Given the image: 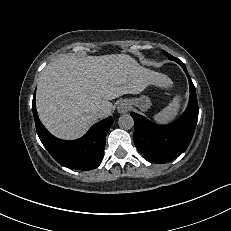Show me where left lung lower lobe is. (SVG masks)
Returning a JSON list of instances; mask_svg holds the SVG:
<instances>
[{
    "instance_id": "0a47b994",
    "label": "left lung lower lobe",
    "mask_w": 231,
    "mask_h": 231,
    "mask_svg": "<svg viewBox=\"0 0 231 231\" xmlns=\"http://www.w3.org/2000/svg\"><path fill=\"white\" fill-rule=\"evenodd\" d=\"M185 71L190 86V99L183 115L168 125H157L145 117L131 113L135 122L134 143L142 156L154 163L169 162L183 153L195 131L198 120V103L195 87L183 62L171 57Z\"/></svg>"
}]
</instances>
